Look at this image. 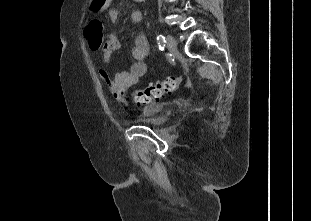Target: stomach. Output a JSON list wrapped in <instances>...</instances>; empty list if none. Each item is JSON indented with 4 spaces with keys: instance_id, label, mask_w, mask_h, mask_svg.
<instances>
[{
    "instance_id": "obj_1",
    "label": "stomach",
    "mask_w": 311,
    "mask_h": 221,
    "mask_svg": "<svg viewBox=\"0 0 311 221\" xmlns=\"http://www.w3.org/2000/svg\"><path fill=\"white\" fill-rule=\"evenodd\" d=\"M96 4H97L98 12H100V10H105V8H107L109 4V0H97Z\"/></svg>"
}]
</instances>
